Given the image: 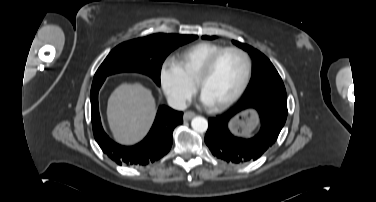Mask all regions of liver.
<instances>
[{
  "label": "liver",
  "mask_w": 376,
  "mask_h": 202,
  "mask_svg": "<svg viewBox=\"0 0 376 202\" xmlns=\"http://www.w3.org/2000/svg\"><path fill=\"white\" fill-rule=\"evenodd\" d=\"M156 110L149 89L139 83L122 84L108 100L107 117L114 139L125 145L137 143L148 133Z\"/></svg>",
  "instance_id": "1"
}]
</instances>
